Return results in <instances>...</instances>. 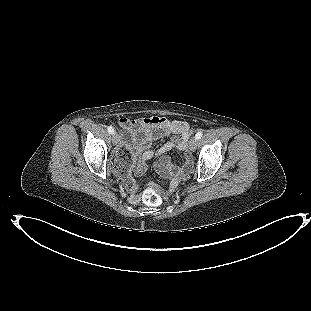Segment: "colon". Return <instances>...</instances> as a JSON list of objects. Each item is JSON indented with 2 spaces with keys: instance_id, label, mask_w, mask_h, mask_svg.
<instances>
[{
  "instance_id": "5ec220e1",
  "label": "colon",
  "mask_w": 311,
  "mask_h": 311,
  "mask_svg": "<svg viewBox=\"0 0 311 311\" xmlns=\"http://www.w3.org/2000/svg\"><path fill=\"white\" fill-rule=\"evenodd\" d=\"M123 154L126 155L127 152H124ZM126 164L127 161H124L119 167L123 168ZM163 196L164 192L161 189L151 186L144 191L142 199L150 206H158L161 204Z\"/></svg>"
}]
</instances>
